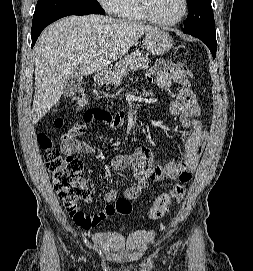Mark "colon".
<instances>
[{
	"label": "colon",
	"instance_id": "obj_1",
	"mask_svg": "<svg viewBox=\"0 0 253 271\" xmlns=\"http://www.w3.org/2000/svg\"><path fill=\"white\" fill-rule=\"evenodd\" d=\"M181 69L189 72L185 64L180 65ZM75 108H81L87 103V94L84 90L78 91L73 97ZM110 114L104 110L88 111L84 118L93 119L98 122L110 119ZM64 124V117L58 116L54 119L56 127ZM37 142L44 152L47 168L52 176L54 188L62 201L65 210L73 221L82 228H91L96 224L93 214L86 213L82 209V203L89 202L93 196L91 185L84 180L83 164L80 159L62 154L53 143L52 138L45 132L37 136ZM192 175L189 172L182 173L174 186L161 193L152 203L149 210V217L152 220L160 219L167 211L173 201H181L187 190V184L191 181ZM115 213L126 215L132 212V204L127 198H118L111 204Z\"/></svg>",
	"mask_w": 253,
	"mask_h": 271
}]
</instances>
